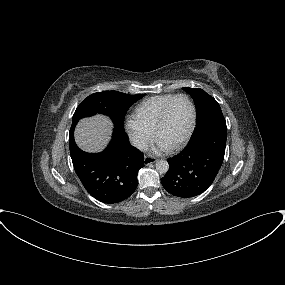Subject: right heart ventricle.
<instances>
[{
  "mask_svg": "<svg viewBox=\"0 0 285 285\" xmlns=\"http://www.w3.org/2000/svg\"><path fill=\"white\" fill-rule=\"evenodd\" d=\"M173 96V94H164L143 100L135 107L133 117L147 128L154 130L164 105Z\"/></svg>",
  "mask_w": 285,
  "mask_h": 285,
  "instance_id": "1",
  "label": "right heart ventricle"
}]
</instances>
